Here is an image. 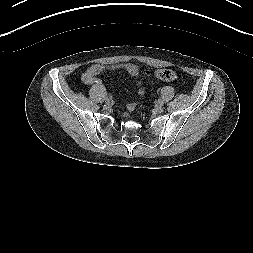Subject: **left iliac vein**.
Instances as JSON below:
<instances>
[{
  "instance_id": "obj_1",
  "label": "left iliac vein",
  "mask_w": 253,
  "mask_h": 253,
  "mask_svg": "<svg viewBox=\"0 0 253 253\" xmlns=\"http://www.w3.org/2000/svg\"><path fill=\"white\" fill-rule=\"evenodd\" d=\"M156 106H157V107H162V103H161V104H158V103H157Z\"/></svg>"
}]
</instances>
